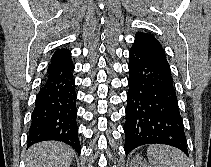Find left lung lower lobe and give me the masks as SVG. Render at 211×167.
<instances>
[{"instance_id": "1", "label": "left lung lower lobe", "mask_w": 211, "mask_h": 167, "mask_svg": "<svg viewBox=\"0 0 211 167\" xmlns=\"http://www.w3.org/2000/svg\"><path fill=\"white\" fill-rule=\"evenodd\" d=\"M124 125V150L128 155L144 144H166L188 155L171 72L151 54L130 49Z\"/></svg>"}]
</instances>
